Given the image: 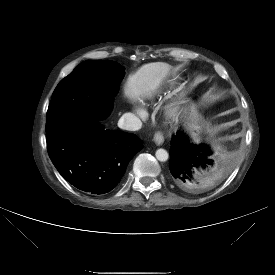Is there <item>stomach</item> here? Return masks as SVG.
I'll use <instances>...</instances> for the list:
<instances>
[{
	"label": "stomach",
	"mask_w": 275,
	"mask_h": 275,
	"mask_svg": "<svg viewBox=\"0 0 275 275\" xmlns=\"http://www.w3.org/2000/svg\"><path fill=\"white\" fill-rule=\"evenodd\" d=\"M189 111V121H190V129L194 136H198L203 127V119L199 112L197 111L196 107L192 104L188 107Z\"/></svg>",
	"instance_id": "stomach-1"
}]
</instances>
